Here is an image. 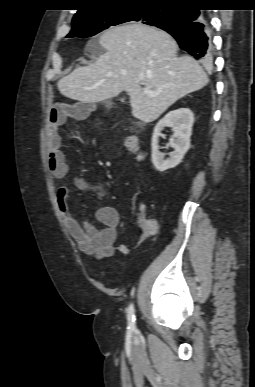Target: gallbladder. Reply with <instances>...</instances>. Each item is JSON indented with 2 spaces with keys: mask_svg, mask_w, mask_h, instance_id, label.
<instances>
[{
  "mask_svg": "<svg viewBox=\"0 0 255 387\" xmlns=\"http://www.w3.org/2000/svg\"><path fill=\"white\" fill-rule=\"evenodd\" d=\"M105 104H106V105H110V104H111V101H110V100H107V101H105Z\"/></svg>",
  "mask_w": 255,
  "mask_h": 387,
  "instance_id": "1",
  "label": "gallbladder"
}]
</instances>
